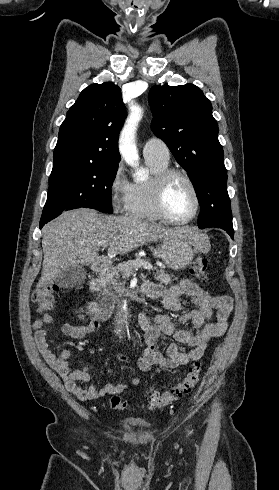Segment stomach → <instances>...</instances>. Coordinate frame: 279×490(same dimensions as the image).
I'll return each instance as SVG.
<instances>
[{
  "label": "stomach",
  "instance_id": "stomach-1",
  "mask_svg": "<svg viewBox=\"0 0 279 490\" xmlns=\"http://www.w3.org/2000/svg\"><path fill=\"white\" fill-rule=\"evenodd\" d=\"M158 254L170 270L179 272V270H185L189 264H192L195 250L192 248L191 240L174 236V238L162 242Z\"/></svg>",
  "mask_w": 279,
  "mask_h": 490
}]
</instances>
